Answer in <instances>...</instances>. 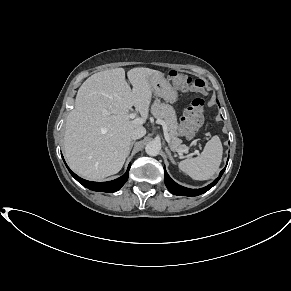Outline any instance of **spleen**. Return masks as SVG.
<instances>
[{
    "instance_id": "1",
    "label": "spleen",
    "mask_w": 291,
    "mask_h": 291,
    "mask_svg": "<svg viewBox=\"0 0 291 291\" xmlns=\"http://www.w3.org/2000/svg\"><path fill=\"white\" fill-rule=\"evenodd\" d=\"M222 154V143L218 136H213L200 156L180 161L178 166L194 180H208L218 171Z\"/></svg>"
}]
</instances>
